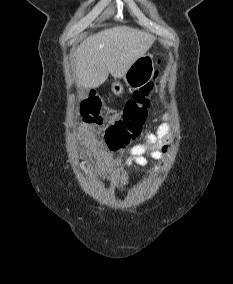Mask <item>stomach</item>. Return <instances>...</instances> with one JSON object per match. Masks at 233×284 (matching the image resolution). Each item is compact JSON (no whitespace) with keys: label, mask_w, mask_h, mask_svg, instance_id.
I'll use <instances>...</instances> for the list:
<instances>
[{"label":"stomach","mask_w":233,"mask_h":284,"mask_svg":"<svg viewBox=\"0 0 233 284\" xmlns=\"http://www.w3.org/2000/svg\"><path fill=\"white\" fill-rule=\"evenodd\" d=\"M155 65L153 55L139 57L123 76L125 84L132 89H139L146 85L154 76ZM112 91L116 95L123 92V85L119 81L112 84Z\"/></svg>","instance_id":"0dacf381"}]
</instances>
